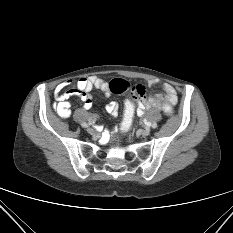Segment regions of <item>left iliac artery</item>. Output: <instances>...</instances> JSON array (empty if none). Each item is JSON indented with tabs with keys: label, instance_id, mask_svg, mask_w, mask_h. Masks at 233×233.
<instances>
[{
	"label": "left iliac artery",
	"instance_id": "obj_1",
	"mask_svg": "<svg viewBox=\"0 0 233 233\" xmlns=\"http://www.w3.org/2000/svg\"><path fill=\"white\" fill-rule=\"evenodd\" d=\"M152 128H157V122H152Z\"/></svg>",
	"mask_w": 233,
	"mask_h": 233
}]
</instances>
